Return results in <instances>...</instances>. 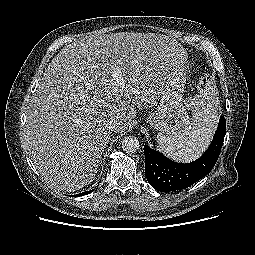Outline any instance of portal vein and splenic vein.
Returning a JSON list of instances; mask_svg holds the SVG:
<instances>
[{
    "mask_svg": "<svg viewBox=\"0 0 255 255\" xmlns=\"http://www.w3.org/2000/svg\"><path fill=\"white\" fill-rule=\"evenodd\" d=\"M121 71L116 69L112 72V76L115 78L116 81H121Z\"/></svg>",
    "mask_w": 255,
    "mask_h": 255,
    "instance_id": "1",
    "label": "portal vein and splenic vein"
}]
</instances>
